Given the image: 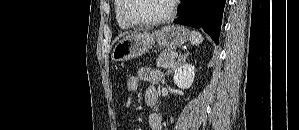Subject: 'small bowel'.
I'll use <instances>...</instances> for the list:
<instances>
[{"label": "small bowel", "instance_id": "c3829d8e", "mask_svg": "<svg viewBox=\"0 0 299 130\" xmlns=\"http://www.w3.org/2000/svg\"><path fill=\"white\" fill-rule=\"evenodd\" d=\"M140 81H145L147 83L146 90H145V98L152 94L155 93L157 94L156 91V84L161 78V73L153 68L149 67H142L138 70L137 72ZM132 100V94L129 96L127 100V106L130 105ZM149 126L151 130H162V122L157 114H151L148 118Z\"/></svg>", "mask_w": 299, "mask_h": 130}]
</instances>
